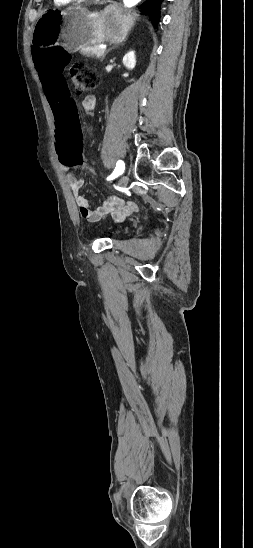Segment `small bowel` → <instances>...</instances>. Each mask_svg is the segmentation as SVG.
Instances as JSON below:
<instances>
[{"mask_svg":"<svg viewBox=\"0 0 253 548\" xmlns=\"http://www.w3.org/2000/svg\"><path fill=\"white\" fill-rule=\"evenodd\" d=\"M35 59V58H34ZM53 60H66L67 59H53ZM47 98V96H46ZM96 106V99L94 96L89 95L87 96L81 103V107L85 111H92ZM51 109L52 106L50 105ZM56 122V121H55ZM57 126V124H56ZM60 165L63 170L68 171L70 166H63L61 164V159L59 158ZM67 181L71 187V191L75 197V201L77 206L79 207L81 215L89 220L94 221L98 219L99 217L110 213L112 217L116 220H122L128 215L136 212L138 210V205L135 202L129 201L124 202L122 199L118 197H111L108 201V206L106 207H99L97 209H92L89 205L88 200L81 195V189L84 185V180L81 178H77L72 173L67 174Z\"/></svg>","mask_w":253,"mask_h":548,"instance_id":"obj_1","label":"small bowel"}]
</instances>
